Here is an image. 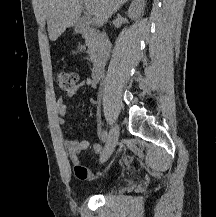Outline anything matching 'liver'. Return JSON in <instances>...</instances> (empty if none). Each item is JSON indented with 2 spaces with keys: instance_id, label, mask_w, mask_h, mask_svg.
<instances>
[{
  "instance_id": "liver-1",
  "label": "liver",
  "mask_w": 216,
  "mask_h": 217,
  "mask_svg": "<svg viewBox=\"0 0 216 217\" xmlns=\"http://www.w3.org/2000/svg\"><path fill=\"white\" fill-rule=\"evenodd\" d=\"M128 0H43L44 17L47 21L48 35L51 41L57 40L80 18L83 2H87L92 11L91 22L102 26L114 12Z\"/></svg>"
}]
</instances>
